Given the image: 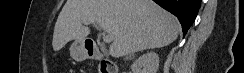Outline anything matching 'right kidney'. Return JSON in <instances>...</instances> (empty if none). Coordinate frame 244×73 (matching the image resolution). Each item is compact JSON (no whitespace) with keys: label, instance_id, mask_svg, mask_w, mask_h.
<instances>
[{"label":"right kidney","instance_id":"1","mask_svg":"<svg viewBox=\"0 0 244 73\" xmlns=\"http://www.w3.org/2000/svg\"><path fill=\"white\" fill-rule=\"evenodd\" d=\"M158 67L159 56L153 51L141 55L131 65L133 73H157Z\"/></svg>","mask_w":244,"mask_h":73}]
</instances>
